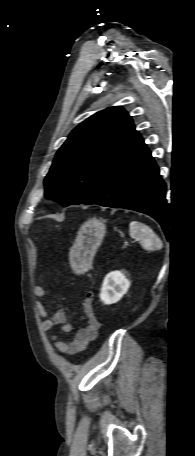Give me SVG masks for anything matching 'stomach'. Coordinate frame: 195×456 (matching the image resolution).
Instances as JSON below:
<instances>
[{
	"label": "stomach",
	"mask_w": 195,
	"mask_h": 456,
	"mask_svg": "<svg viewBox=\"0 0 195 456\" xmlns=\"http://www.w3.org/2000/svg\"><path fill=\"white\" fill-rule=\"evenodd\" d=\"M105 232V224L97 218H91L80 226L69 253L74 271L83 273L91 268L93 257L102 243Z\"/></svg>",
	"instance_id": "stomach-1"
}]
</instances>
